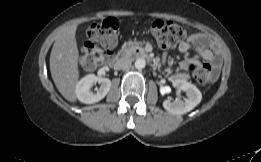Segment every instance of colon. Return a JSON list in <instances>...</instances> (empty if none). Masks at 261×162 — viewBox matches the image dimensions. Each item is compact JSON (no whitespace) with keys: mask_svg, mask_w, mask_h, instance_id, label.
I'll return each instance as SVG.
<instances>
[{"mask_svg":"<svg viewBox=\"0 0 261 162\" xmlns=\"http://www.w3.org/2000/svg\"><path fill=\"white\" fill-rule=\"evenodd\" d=\"M119 22L108 17L101 22L92 24L87 31L89 42L83 48V58L90 66L99 64L104 57V50L112 48L117 41ZM151 32L163 47H174L185 38V29L172 21L157 20L153 22ZM195 79L199 84L210 90L213 87V76L209 69L199 67L195 71Z\"/></svg>","mask_w":261,"mask_h":162,"instance_id":"1","label":"colon"}]
</instances>
